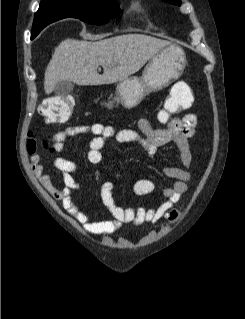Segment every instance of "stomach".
<instances>
[{"mask_svg":"<svg viewBox=\"0 0 245 319\" xmlns=\"http://www.w3.org/2000/svg\"><path fill=\"white\" fill-rule=\"evenodd\" d=\"M183 49L171 44L161 49L147 63L140 77H128L117 84L113 101L101 102V106L113 109L121 104L127 109L136 107L147 95L157 92L177 80L186 67Z\"/></svg>","mask_w":245,"mask_h":319,"instance_id":"obj_1","label":"stomach"}]
</instances>
